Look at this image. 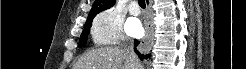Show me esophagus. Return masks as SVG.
I'll return each instance as SVG.
<instances>
[{"label": "esophagus", "mask_w": 246, "mask_h": 69, "mask_svg": "<svg viewBox=\"0 0 246 69\" xmlns=\"http://www.w3.org/2000/svg\"><path fill=\"white\" fill-rule=\"evenodd\" d=\"M153 42V30L151 28V25H149L148 23L145 28V35L141 39L140 44L138 46L139 51L142 53H148L152 48Z\"/></svg>", "instance_id": "1"}]
</instances>
